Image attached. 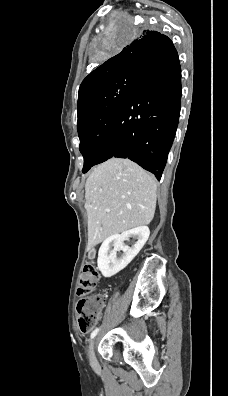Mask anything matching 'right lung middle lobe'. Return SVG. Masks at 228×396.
Masks as SVG:
<instances>
[{
	"label": "right lung middle lobe",
	"instance_id": "1",
	"mask_svg": "<svg viewBox=\"0 0 228 396\" xmlns=\"http://www.w3.org/2000/svg\"><path fill=\"white\" fill-rule=\"evenodd\" d=\"M139 71L119 75L88 94L78 108V135L84 157L83 173L96 165L111 127Z\"/></svg>",
	"mask_w": 228,
	"mask_h": 396
}]
</instances>
